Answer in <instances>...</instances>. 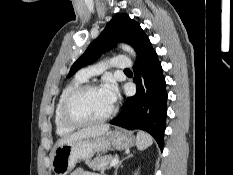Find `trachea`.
Wrapping results in <instances>:
<instances>
[{"label": "trachea", "mask_w": 233, "mask_h": 175, "mask_svg": "<svg viewBox=\"0 0 233 175\" xmlns=\"http://www.w3.org/2000/svg\"><path fill=\"white\" fill-rule=\"evenodd\" d=\"M124 71H130V69H125Z\"/></svg>", "instance_id": "obj_1"}]
</instances>
